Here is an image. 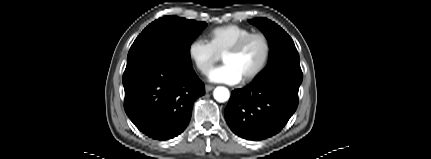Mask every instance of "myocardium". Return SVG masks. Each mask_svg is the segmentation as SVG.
Returning a JSON list of instances; mask_svg holds the SVG:
<instances>
[{"label":"myocardium","instance_id":"myocardium-1","mask_svg":"<svg viewBox=\"0 0 431 159\" xmlns=\"http://www.w3.org/2000/svg\"><path fill=\"white\" fill-rule=\"evenodd\" d=\"M259 38L263 41L264 44V56L260 63V65L248 76L242 79V82L249 83L257 79L267 68L268 63L270 61L271 57V42L267 35L261 32H253L244 38H242L240 41H238L235 45H233L231 48H229L224 54L223 58L227 55H237L241 53L247 45L254 39Z\"/></svg>","mask_w":431,"mask_h":159}]
</instances>
